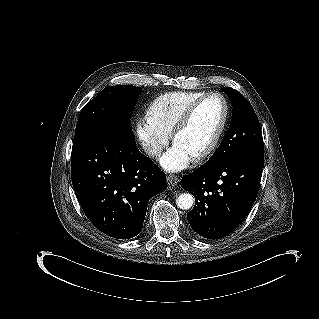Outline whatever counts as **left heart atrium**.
Masks as SVG:
<instances>
[{
    "label": "left heart atrium",
    "instance_id": "left-heart-atrium-1",
    "mask_svg": "<svg viewBox=\"0 0 319 319\" xmlns=\"http://www.w3.org/2000/svg\"><path fill=\"white\" fill-rule=\"evenodd\" d=\"M193 159V154L180 144L174 145L161 158V166L169 172L186 168Z\"/></svg>",
    "mask_w": 319,
    "mask_h": 319
}]
</instances>
